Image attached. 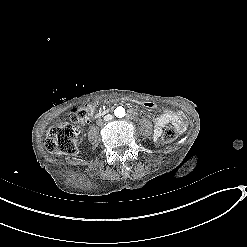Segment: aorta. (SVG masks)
Wrapping results in <instances>:
<instances>
[{
	"label": "aorta",
	"instance_id": "aorta-1",
	"mask_svg": "<svg viewBox=\"0 0 247 247\" xmlns=\"http://www.w3.org/2000/svg\"><path fill=\"white\" fill-rule=\"evenodd\" d=\"M114 114L117 118H122L125 116V109L119 106L114 110Z\"/></svg>",
	"mask_w": 247,
	"mask_h": 247
}]
</instances>
